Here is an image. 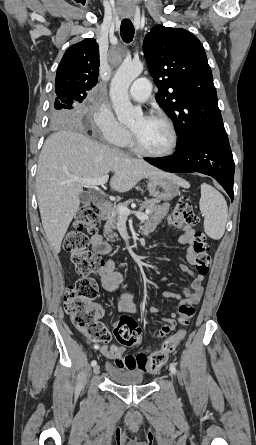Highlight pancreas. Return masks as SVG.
Segmentation results:
<instances>
[{
  "label": "pancreas",
  "mask_w": 256,
  "mask_h": 445,
  "mask_svg": "<svg viewBox=\"0 0 256 445\" xmlns=\"http://www.w3.org/2000/svg\"><path fill=\"white\" fill-rule=\"evenodd\" d=\"M132 202L131 200L126 201L122 204H119L117 207H111L107 209V213L105 216L106 224L104 226V235H107V239L109 241H113L115 237H117L116 234H112V229L115 228V225L118 223L120 219V215L118 213V207L124 206L127 207L129 203ZM160 201L158 199H151V200H145L144 202H141L140 208L149 210L150 215H154L157 218H163L167 210H164L160 205Z\"/></svg>",
  "instance_id": "obj_1"
}]
</instances>
